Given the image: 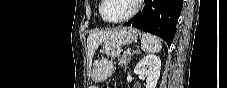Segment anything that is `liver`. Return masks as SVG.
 Masks as SVG:
<instances>
[{
	"label": "liver",
	"instance_id": "1",
	"mask_svg": "<svg viewBox=\"0 0 227 88\" xmlns=\"http://www.w3.org/2000/svg\"><path fill=\"white\" fill-rule=\"evenodd\" d=\"M113 32L110 30L105 31H93L89 34L87 39L88 57L89 61H92L93 55L99 45L104 42Z\"/></svg>",
	"mask_w": 227,
	"mask_h": 88
}]
</instances>
